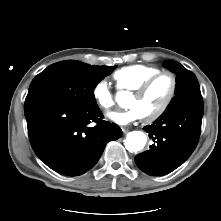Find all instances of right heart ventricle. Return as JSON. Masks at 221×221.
I'll use <instances>...</instances> for the list:
<instances>
[{"label":"right heart ventricle","instance_id":"right-heart-ventricle-1","mask_svg":"<svg viewBox=\"0 0 221 221\" xmlns=\"http://www.w3.org/2000/svg\"><path fill=\"white\" fill-rule=\"evenodd\" d=\"M158 72L160 69L153 66L130 65L116 71L113 78L119 89L133 91Z\"/></svg>","mask_w":221,"mask_h":221}]
</instances>
